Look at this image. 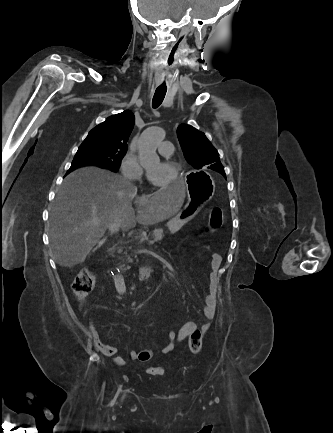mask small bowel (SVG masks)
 <instances>
[{
	"instance_id": "1",
	"label": "small bowel",
	"mask_w": 333,
	"mask_h": 433,
	"mask_svg": "<svg viewBox=\"0 0 333 433\" xmlns=\"http://www.w3.org/2000/svg\"><path fill=\"white\" fill-rule=\"evenodd\" d=\"M221 261H222V257L220 254L218 253L211 254L210 268H211L212 275L216 274L217 271L219 270ZM215 308H216V294L215 291L211 287H209L204 299V305L202 307V314L204 318L207 320H211L214 317ZM208 328H209V323L199 326L195 322H191V321L187 322L178 331H171L168 333L166 338V344L162 348L161 352L163 354H167L171 352L176 342L183 341L184 339L189 337L194 330H199L202 334H204L206 333ZM88 335L92 340L93 345L97 351H99L106 357L112 358L117 363H122V359L120 357H114L117 352V349L101 341L99 333L93 323H91L89 326ZM153 355L154 352L151 348H145L140 351L132 350L130 352V357L133 360H139L142 362L150 361L153 358Z\"/></svg>"
}]
</instances>
